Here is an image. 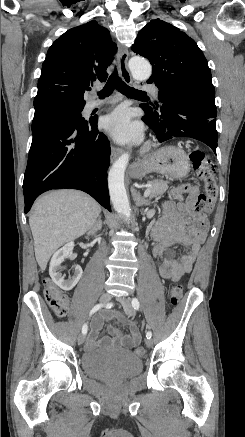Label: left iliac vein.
<instances>
[{
	"instance_id": "1",
	"label": "left iliac vein",
	"mask_w": 245,
	"mask_h": 437,
	"mask_svg": "<svg viewBox=\"0 0 245 437\" xmlns=\"http://www.w3.org/2000/svg\"><path fill=\"white\" fill-rule=\"evenodd\" d=\"M119 302L122 304L124 311L128 316L135 315V309L132 306L129 298H126V297L120 298ZM145 343L148 347H151L153 345V341L150 338H146Z\"/></svg>"
}]
</instances>
